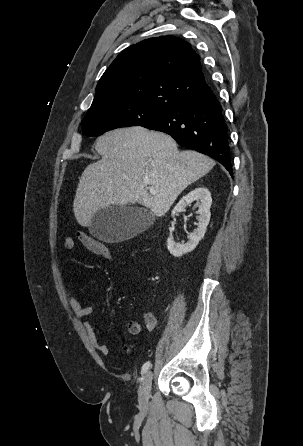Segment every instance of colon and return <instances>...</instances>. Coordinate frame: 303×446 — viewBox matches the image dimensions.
I'll use <instances>...</instances> for the list:
<instances>
[{
	"label": "colon",
	"mask_w": 303,
	"mask_h": 446,
	"mask_svg": "<svg viewBox=\"0 0 303 446\" xmlns=\"http://www.w3.org/2000/svg\"><path fill=\"white\" fill-rule=\"evenodd\" d=\"M96 255L99 256V257H102L104 259H107V260H112L113 259V255H112L110 249L108 248V246L105 243H103L101 241H98V247H97V254ZM124 349L126 351H129L130 347L128 345H125Z\"/></svg>",
	"instance_id": "1"
}]
</instances>
